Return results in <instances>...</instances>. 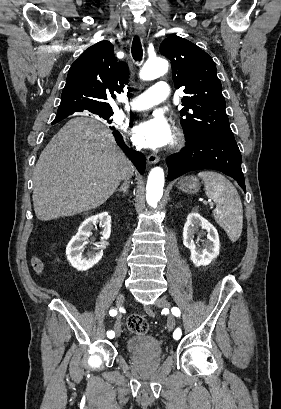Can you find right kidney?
Returning <instances> with one entry per match:
<instances>
[{
    "mask_svg": "<svg viewBox=\"0 0 281 409\" xmlns=\"http://www.w3.org/2000/svg\"><path fill=\"white\" fill-rule=\"evenodd\" d=\"M96 223H101L104 227L103 239H109L111 235V217L108 213H98V215H92V217H88V219L83 221L78 229V233H76L75 237H72L66 247L70 251L71 265L77 271H88L96 263H99L103 257V251H100V249H95V251H91L87 255L82 253V249L84 245H87V239L92 235L91 231H93Z\"/></svg>",
    "mask_w": 281,
    "mask_h": 409,
    "instance_id": "right-kidney-1",
    "label": "right kidney"
}]
</instances>
